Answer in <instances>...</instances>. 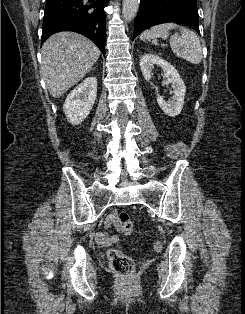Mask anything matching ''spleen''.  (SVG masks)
I'll list each match as a JSON object with an SVG mask.
<instances>
[{
	"instance_id": "3e777b00",
	"label": "spleen",
	"mask_w": 245,
	"mask_h": 314,
	"mask_svg": "<svg viewBox=\"0 0 245 314\" xmlns=\"http://www.w3.org/2000/svg\"><path fill=\"white\" fill-rule=\"evenodd\" d=\"M179 29L181 34L178 33L170 36L169 43L173 53L185 59L192 64H199L202 60V48L199 37L191 30L181 27L175 23H164L151 27L145 30L141 35L142 41H149L151 39L169 37V31Z\"/></svg>"
}]
</instances>
